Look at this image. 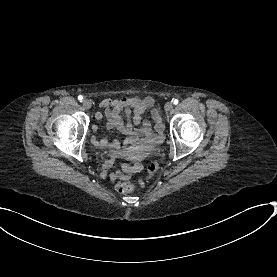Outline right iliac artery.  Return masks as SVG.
Returning <instances> with one entry per match:
<instances>
[{
	"label": "right iliac artery",
	"instance_id": "82829eb1",
	"mask_svg": "<svg viewBox=\"0 0 277 277\" xmlns=\"http://www.w3.org/2000/svg\"><path fill=\"white\" fill-rule=\"evenodd\" d=\"M78 99L80 100V102L83 100V97L80 95L79 97H78Z\"/></svg>",
	"mask_w": 277,
	"mask_h": 277
}]
</instances>
